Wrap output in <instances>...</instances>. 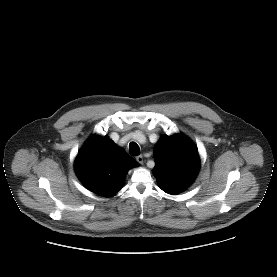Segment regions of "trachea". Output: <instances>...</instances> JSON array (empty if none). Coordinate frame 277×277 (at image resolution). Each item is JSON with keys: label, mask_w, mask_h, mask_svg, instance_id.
<instances>
[{"label": "trachea", "mask_w": 277, "mask_h": 277, "mask_svg": "<svg viewBox=\"0 0 277 277\" xmlns=\"http://www.w3.org/2000/svg\"><path fill=\"white\" fill-rule=\"evenodd\" d=\"M129 153L133 156L140 154V148L135 142H131L129 145Z\"/></svg>", "instance_id": "obj_1"}]
</instances>
